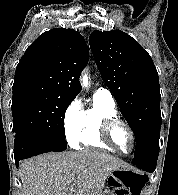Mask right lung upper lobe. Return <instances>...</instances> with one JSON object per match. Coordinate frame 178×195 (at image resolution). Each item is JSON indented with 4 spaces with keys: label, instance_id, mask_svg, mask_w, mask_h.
<instances>
[{
    "label": "right lung upper lobe",
    "instance_id": "obj_1",
    "mask_svg": "<svg viewBox=\"0 0 178 195\" xmlns=\"http://www.w3.org/2000/svg\"><path fill=\"white\" fill-rule=\"evenodd\" d=\"M89 50L79 32L56 28L44 32L25 51L16 67L13 96L43 93L75 98Z\"/></svg>",
    "mask_w": 178,
    "mask_h": 195
}]
</instances>
